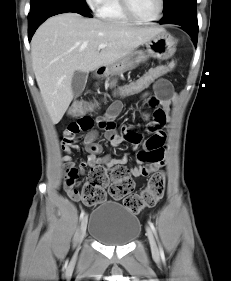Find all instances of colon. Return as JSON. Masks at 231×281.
Returning a JSON list of instances; mask_svg holds the SVG:
<instances>
[{
    "label": "colon",
    "mask_w": 231,
    "mask_h": 281,
    "mask_svg": "<svg viewBox=\"0 0 231 281\" xmlns=\"http://www.w3.org/2000/svg\"><path fill=\"white\" fill-rule=\"evenodd\" d=\"M175 63L170 62L150 68L136 79L119 85L114 94L118 97H130L141 94L162 76L170 73ZM88 105L85 102H75L71 107V113L78 115L85 112ZM165 174L162 171L154 173L146 188L136 194H130L134 188V182L129 170L124 166H117L110 173L102 166L91 168L87 181L81 189L75 185L74 194L84 203L95 205L101 203L105 197L106 187L114 199H124V205L132 212L137 213L144 208L154 207L163 197L165 191Z\"/></svg>",
    "instance_id": "1"
}]
</instances>
